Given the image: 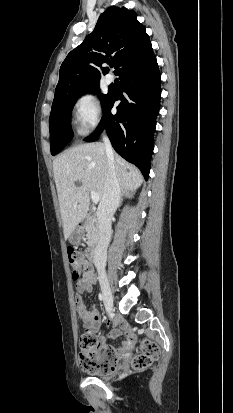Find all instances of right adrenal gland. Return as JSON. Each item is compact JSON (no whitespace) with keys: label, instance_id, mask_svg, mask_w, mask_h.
I'll return each mask as SVG.
<instances>
[{"label":"right adrenal gland","instance_id":"2a0ac1e0","mask_svg":"<svg viewBox=\"0 0 233 413\" xmlns=\"http://www.w3.org/2000/svg\"><path fill=\"white\" fill-rule=\"evenodd\" d=\"M134 194L135 193L131 190L122 189L121 195H120V205L122 204L124 197L132 198Z\"/></svg>","mask_w":233,"mask_h":413}]
</instances>
